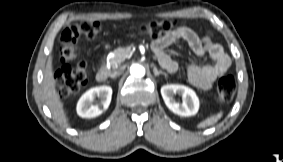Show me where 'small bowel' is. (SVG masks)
<instances>
[{"mask_svg":"<svg viewBox=\"0 0 283 162\" xmlns=\"http://www.w3.org/2000/svg\"><path fill=\"white\" fill-rule=\"evenodd\" d=\"M183 39L187 42L191 50L198 57H204L206 54L212 59L213 64L189 65L187 68L188 78L190 82L199 89H210L215 80L223 76L231 65L230 57L225 53L223 47L210 40L209 37L198 36L189 27H178L169 34L156 39L152 43V49L158 59L160 65L168 72L177 71L178 62L172 59L165 49L173 44L176 40Z\"/></svg>","mask_w":283,"mask_h":162,"instance_id":"obj_1","label":"small bowel"}]
</instances>
